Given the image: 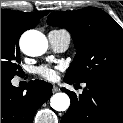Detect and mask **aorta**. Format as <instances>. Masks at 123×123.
Listing matches in <instances>:
<instances>
[{
    "mask_svg": "<svg viewBox=\"0 0 123 123\" xmlns=\"http://www.w3.org/2000/svg\"><path fill=\"white\" fill-rule=\"evenodd\" d=\"M20 46L27 55L40 56L47 50L48 42L41 32L31 30L23 34ZM50 104L56 111H66L70 106V98L66 93H56L51 97Z\"/></svg>",
    "mask_w": 123,
    "mask_h": 123,
    "instance_id": "aorta-1",
    "label": "aorta"
}]
</instances>
